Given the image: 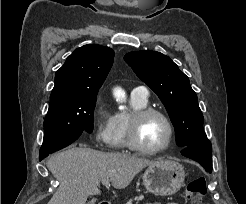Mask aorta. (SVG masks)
<instances>
[{
	"instance_id": "obj_1",
	"label": "aorta",
	"mask_w": 246,
	"mask_h": 204,
	"mask_svg": "<svg viewBox=\"0 0 246 204\" xmlns=\"http://www.w3.org/2000/svg\"><path fill=\"white\" fill-rule=\"evenodd\" d=\"M115 96H116L118 101H123L124 98H125V93L123 91H121V90H117L115 92Z\"/></svg>"
}]
</instances>
